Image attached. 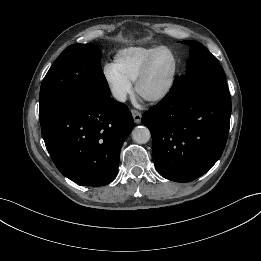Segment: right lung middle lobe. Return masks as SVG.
Instances as JSON below:
<instances>
[{
	"mask_svg": "<svg viewBox=\"0 0 261 261\" xmlns=\"http://www.w3.org/2000/svg\"><path fill=\"white\" fill-rule=\"evenodd\" d=\"M101 53L92 44H72L57 58L41 85L40 122L83 99H109Z\"/></svg>",
	"mask_w": 261,
	"mask_h": 261,
	"instance_id": "right-lung-middle-lobe-1",
	"label": "right lung middle lobe"
}]
</instances>
